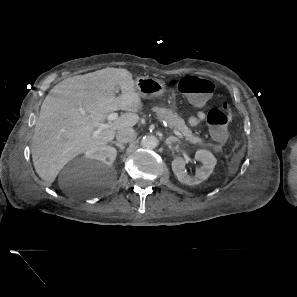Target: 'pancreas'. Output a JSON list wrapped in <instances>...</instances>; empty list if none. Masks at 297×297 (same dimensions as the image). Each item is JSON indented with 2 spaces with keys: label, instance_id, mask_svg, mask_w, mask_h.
I'll use <instances>...</instances> for the list:
<instances>
[{
  "label": "pancreas",
  "instance_id": "pancreas-1",
  "mask_svg": "<svg viewBox=\"0 0 297 297\" xmlns=\"http://www.w3.org/2000/svg\"><path fill=\"white\" fill-rule=\"evenodd\" d=\"M153 111L156 112L160 120L166 121L171 128L178 130L191 144L205 146L203 140L192 133L186 126L184 120L176 112L163 107H155Z\"/></svg>",
  "mask_w": 297,
  "mask_h": 297
}]
</instances>
